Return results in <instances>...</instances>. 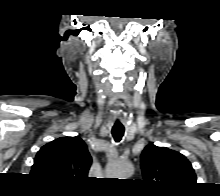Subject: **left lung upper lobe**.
Masks as SVG:
<instances>
[{"label":"left lung upper lobe","mask_w":220,"mask_h":196,"mask_svg":"<svg viewBox=\"0 0 220 196\" xmlns=\"http://www.w3.org/2000/svg\"><path fill=\"white\" fill-rule=\"evenodd\" d=\"M141 167L145 181L160 192L181 193L196 184L191 163L179 152L166 147L146 146Z\"/></svg>","instance_id":"1"}]
</instances>
